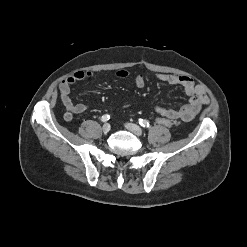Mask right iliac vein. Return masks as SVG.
<instances>
[{"instance_id":"obj_1","label":"right iliac vein","mask_w":247,"mask_h":247,"mask_svg":"<svg viewBox=\"0 0 247 247\" xmlns=\"http://www.w3.org/2000/svg\"><path fill=\"white\" fill-rule=\"evenodd\" d=\"M110 129H111V126H110L109 123H105V124L102 126V130H103L104 133L109 132Z\"/></svg>"}]
</instances>
